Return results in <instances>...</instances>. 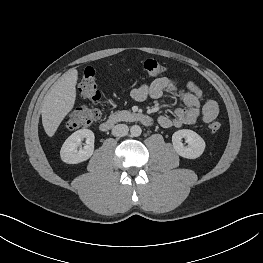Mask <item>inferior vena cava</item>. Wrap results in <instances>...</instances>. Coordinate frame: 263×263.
Wrapping results in <instances>:
<instances>
[{"label": "inferior vena cava", "mask_w": 263, "mask_h": 263, "mask_svg": "<svg viewBox=\"0 0 263 263\" xmlns=\"http://www.w3.org/2000/svg\"><path fill=\"white\" fill-rule=\"evenodd\" d=\"M129 128L126 124H118L113 127L112 135L116 137H123L128 134Z\"/></svg>", "instance_id": "602c4592"}]
</instances>
